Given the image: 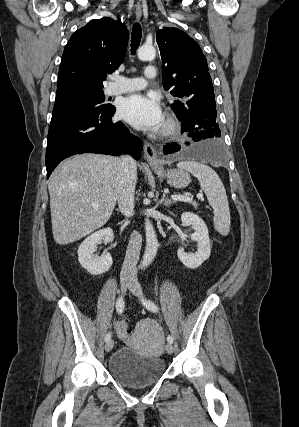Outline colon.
<instances>
[{
    "label": "colon",
    "instance_id": "1",
    "mask_svg": "<svg viewBox=\"0 0 299 427\" xmlns=\"http://www.w3.org/2000/svg\"><path fill=\"white\" fill-rule=\"evenodd\" d=\"M117 333L128 338L130 336V331L127 328L126 321L122 320L117 325Z\"/></svg>",
    "mask_w": 299,
    "mask_h": 427
}]
</instances>
